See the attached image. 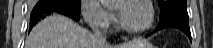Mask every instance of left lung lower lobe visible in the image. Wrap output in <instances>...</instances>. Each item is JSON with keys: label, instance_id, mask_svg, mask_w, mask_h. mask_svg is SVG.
Segmentation results:
<instances>
[{"label": "left lung lower lobe", "instance_id": "left-lung-lower-lobe-1", "mask_svg": "<svg viewBox=\"0 0 213 48\" xmlns=\"http://www.w3.org/2000/svg\"><path fill=\"white\" fill-rule=\"evenodd\" d=\"M168 27L178 28L182 30L191 40L188 18H182L179 16H168L160 20L159 26L156 28L155 31Z\"/></svg>", "mask_w": 213, "mask_h": 48}]
</instances>
